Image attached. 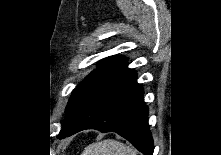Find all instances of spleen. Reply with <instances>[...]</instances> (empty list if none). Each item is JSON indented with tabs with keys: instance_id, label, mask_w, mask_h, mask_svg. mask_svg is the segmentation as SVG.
<instances>
[{
	"instance_id": "obj_1",
	"label": "spleen",
	"mask_w": 221,
	"mask_h": 155,
	"mask_svg": "<svg viewBox=\"0 0 221 155\" xmlns=\"http://www.w3.org/2000/svg\"><path fill=\"white\" fill-rule=\"evenodd\" d=\"M82 155H137V152L122 142L106 139L88 145Z\"/></svg>"
}]
</instances>
